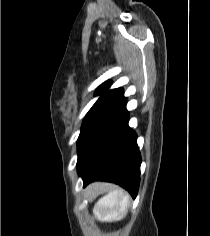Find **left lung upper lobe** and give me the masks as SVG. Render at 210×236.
<instances>
[{
	"label": "left lung upper lobe",
	"instance_id": "obj_1",
	"mask_svg": "<svg viewBox=\"0 0 210 236\" xmlns=\"http://www.w3.org/2000/svg\"><path fill=\"white\" fill-rule=\"evenodd\" d=\"M110 85V82H106L97 89L96 94L101 96L86 114L81 130L91 121H93L98 115H100L105 109L112 105L123 93L121 88L108 90Z\"/></svg>",
	"mask_w": 210,
	"mask_h": 236
}]
</instances>
